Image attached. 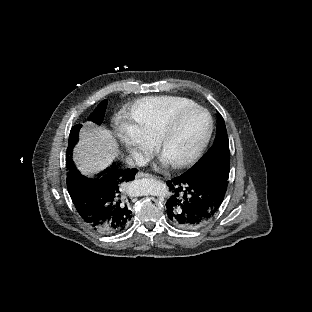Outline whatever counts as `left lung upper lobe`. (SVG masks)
Wrapping results in <instances>:
<instances>
[{"label":"left lung upper lobe","instance_id":"obj_1","mask_svg":"<svg viewBox=\"0 0 312 312\" xmlns=\"http://www.w3.org/2000/svg\"><path fill=\"white\" fill-rule=\"evenodd\" d=\"M218 129L212 147L187 172H195L206 166L217 164L230 165V151L225 122L218 113Z\"/></svg>","mask_w":312,"mask_h":312}]
</instances>
